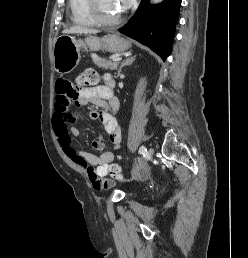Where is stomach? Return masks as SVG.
<instances>
[{
	"instance_id": "obj_1",
	"label": "stomach",
	"mask_w": 248,
	"mask_h": 258,
	"mask_svg": "<svg viewBox=\"0 0 248 258\" xmlns=\"http://www.w3.org/2000/svg\"><path fill=\"white\" fill-rule=\"evenodd\" d=\"M130 47L131 43L117 34H109L103 38L90 36L85 40L61 35L57 37L53 46L54 69L60 74L70 73L78 65L82 49L121 53L127 51Z\"/></svg>"
}]
</instances>
